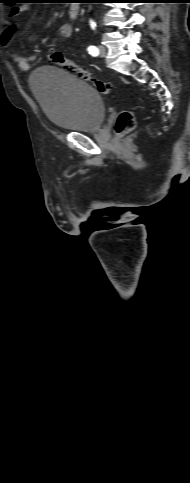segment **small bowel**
<instances>
[{
    "mask_svg": "<svg viewBox=\"0 0 190 483\" xmlns=\"http://www.w3.org/2000/svg\"><path fill=\"white\" fill-rule=\"evenodd\" d=\"M29 8L30 7L28 5L20 6L16 9H13L12 14L17 15L18 13L26 11ZM15 29H16V25L13 21L7 22L4 29L0 33V42L5 47L9 58L13 62H15L21 70L27 71L30 68V63L34 59V56H28V57L20 56L12 50V48L10 47V41L13 37ZM72 33H73V28H72V25L69 23H65L59 27L58 36L61 39L70 38L72 36Z\"/></svg>",
    "mask_w": 190,
    "mask_h": 483,
    "instance_id": "obj_1",
    "label": "small bowel"
}]
</instances>
